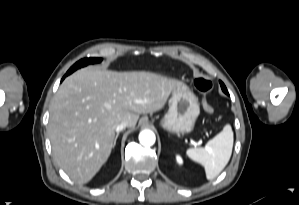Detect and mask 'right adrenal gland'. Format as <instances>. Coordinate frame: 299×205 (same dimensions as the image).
I'll list each match as a JSON object with an SVG mask.
<instances>
[{"label": "right adrenal gland", "mask_w": 299, "mask_h": 205, "mask_svg": "<svg viewBox=\"0 0 299 205\" xmlns=\"http://www.w3.org/2000/svg\"><path fill=\"white\" fill-rule=\"evenodd\" d=\"M118 136H119V133H117L116 136H115L113 147L116 145V141H117Z\"/></svg>", "instance_id": "2a0ac1e0"}]
</instances>
